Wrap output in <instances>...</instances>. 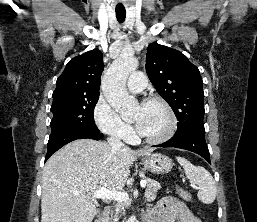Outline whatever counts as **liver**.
Listing matches in <instances>:
<instances>
[{"label":"liver","mask_w":257,"mask_h":222,"mask_svg":"<svg viewBox=\"0 0 257 222\" xmlns=\"http://www.w3.org/2000/svg\"><path fill=\"white\" fill-rule=\"evenodd\" d=\"M154 149L133 151L91 139L72 141L46 162L42 176L41 222H92L99 210L91 193L102 187L124 188L137 156Z\"/></svg>","instance_id":"6515ba94"}]
</instances>
